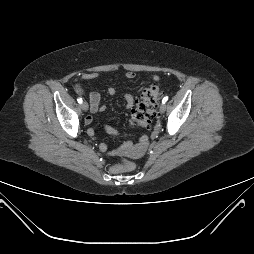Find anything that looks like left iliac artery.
<instances>
[{
  "instance_id": "obj_1",
  "label": "left iliac artery",
  "mask_w": 254,
  "mask_h": 254,
  "mask_svg": "<svg viewBox=\"0 0 254 254\" xmlns=\"http://www.w3.org/2000/svg\"><path fill=\"white\" fill-rule=\"evenodd\" d=\"M167 100H168V97L165 96V97L163 98V100H162V103L165 104V103L167 102Z\"/></svg>"
}]
</instances>
